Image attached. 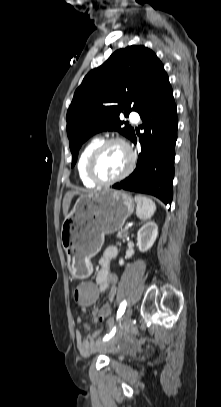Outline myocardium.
<instances>
[{"mask_svg":"<svg viewBox=\"0 0 221 407\" xmlns=\"http://www.w3.org/2000/svg\"><path fill=\"white\" fill-rule=\"evenodd\" d=\"M113 144H118L121 145L125 148V150L128 153L129 156V163L126 167V169L119 174L118 176L111 178V179H101L97 176L96 172H95V164L96 161L98 159V157L100 156V154L110 145ZM136 164V157L135 154L132 150V148L130 147V145L123 139L121 138H109L106 139L104 141H102L89 155L87 161H86V166H85V171H86V175L87 177L96 185H100V186H107V185H112L114 183H117L123 179H125L127 176H129L131 174V172L133 171L134 167Z\"/></svg>","mask_w":221,"mask_h":407,"instance_id":"1","label":"myocardium"}]
</instances>
